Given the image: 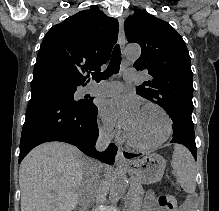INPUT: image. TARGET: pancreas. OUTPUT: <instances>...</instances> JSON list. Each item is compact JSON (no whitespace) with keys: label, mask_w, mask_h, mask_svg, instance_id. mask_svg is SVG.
Returning <instances> with one entry per match:
<instances>
[{"label":"pancreas","mask_w":219,"mask_h":211,"mask_svg":"<svg viewBox=\"0 0 219 211\" xmlns=\"http://www.w3.org/2000/svg\"><path fill=\"white\" fill-rule=\"evenodd\" d=\"M131 189H133V192L128 193L129 199H127V211H140V207H142L143 203V190L140 186H131Z\"/></svg>","instance_id":"cf45deb5"}]
</instances>
